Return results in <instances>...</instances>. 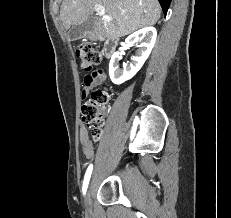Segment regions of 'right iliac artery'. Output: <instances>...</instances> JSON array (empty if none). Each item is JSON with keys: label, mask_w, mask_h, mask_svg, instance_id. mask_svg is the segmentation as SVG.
I'll list each match as a JSON object with an SVG mask.
<instances>
[{"label": "right iliac artery", "mask_w": 231, "mask_h": 218, "mask_svg": "<svg viewBox=\"0 0 231 218\" xmlns=\"http://www.w3.org/2000/svg\"><path fill=\"white\" fill-rule=\"evenodd\" d=\"M92 169H93V166H92V164H90L87 171H86L85 177H84V182H83V193L84 194L86 193V190H87V187H88V183H89V180H90Z\"/></svg>", "instance_id": "right-iliac-artery-1"}]
</instances>
